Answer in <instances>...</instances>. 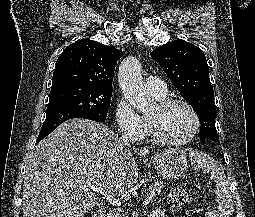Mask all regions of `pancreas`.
Segmentation results:
<instances>
[{"mask_svg":"<svg viewBox=\"0 0 255 217\" xmlns=\"http://www.w3.org/2000/svg\"><path fill=\"white\" fill-rule=\"evenodd\" d=\"M165 183L163 181H156L152 186L153 194L159 195L164 188ZM108 217H127L126 214L121 210L117 209L115 211H110Z\"/></svg>","mask_w":255,"mask_h":217,"instance_id":"1","label":"pancreas"}]
</instances>
